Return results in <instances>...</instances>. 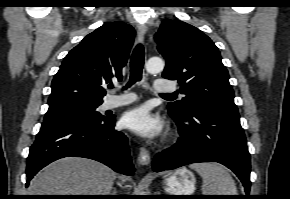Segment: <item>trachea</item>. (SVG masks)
<instances>
[{"instance_id":"3493384b","label":"trachea","mask_w":290,"mask_h":199,"mask_svg":"<svg viewBox=\"0 0 290 199\" xmlns=\"http://www.w3.org/2000/svg\"><path fill=\"white\" fill-rule=\"evenodd\" d=\"M143 65H144V48L142 44H138L134 48L130 59V67H131L130 80L127 83L126 87H124V89L129 88L134 83L141 80ZM109 88L111 89L113 88V86L110 85ZM173 95L174 94H161V96H173Z\"/></svg>"}]
</instances>
